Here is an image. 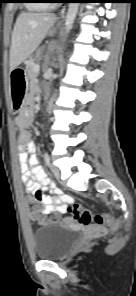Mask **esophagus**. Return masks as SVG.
<instances>
[{
  "instance_id": "obj_1",
  "label": "esophagus",
  "mask_w": 136,
  "mask_h": 296,
  "mask_svg": "<svg viewBox=\"0 0 136 296\" xmlns=\"http://www.w3.org/2000/svg\"><path fill=\"white\" fill-rule=\"evenodd\" d=\"M65 8H66V6L64 5V6L59 10V13H58V19L62 20V19L64 18Z\"/></svg>"
}]
</instances>
